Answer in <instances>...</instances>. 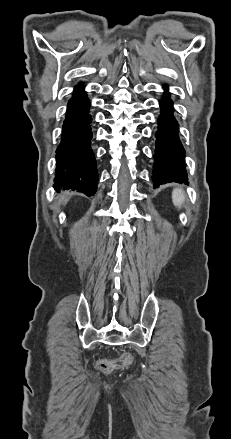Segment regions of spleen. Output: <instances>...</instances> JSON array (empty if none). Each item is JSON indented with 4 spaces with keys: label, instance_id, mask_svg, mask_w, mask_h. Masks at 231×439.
Segmentation results:
<instances>
[{
    "label": "spleen",
    "instance_id": "1",
    "mask_svg": "<svg viewBox=\"0 0 231 439\" xmlns=\"http://www.w3.org/2000/svg\"><path fill=\"white\" fill-rule=\"evenodd\" d=\"M184 192L182 189H174L172 192V200L173 204L180 208L182 203L184 202Z\"/></svg>",
    "mask_w": 231,
    "mask_h": 439
}]
</instances>
